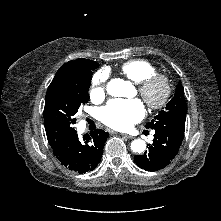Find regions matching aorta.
Wrapping results in <instances>:
<instances>
[{
    "label": "aorta",
    "mask_w": 221,
    "mask_h": 221,
    "mask_svg": "<svg viewBox=\"0 0 221 221\" xmlns=\"http://www.w3.org/2000/svg\"><path fill=\"white\" fill-rule=\"evenodd\" d=\"M129 83L123 79H112L107 84V93L114 97H124L129 89ZM131 149L134 153H142L146 149V143L142 139H136L131 143Z\"/></svg>",
    "instance_id": "762f6f07"
}]
</instances>
